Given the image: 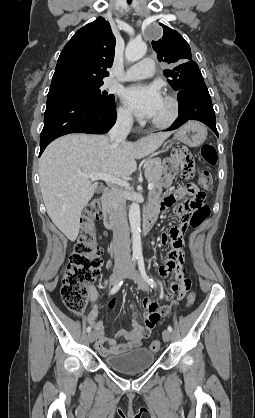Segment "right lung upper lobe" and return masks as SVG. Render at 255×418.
I'll return each instance as SVG.
<instances>
[{
  "instance_id": "right-lung-upper-lobe-1",
  "label": "right lung upper lobe",
  "mask_w": 255,
  "mask_h": 418,
  "mask_svg": "<svg viewBox=\"0 0 255 418\" xmlns=\"http://www.w3.org/2000/svg\"><path fill=\"white\" fill-rule=\"evenodd\" d=\"M116 39L108 21L99 17L79 29L63 48L51 86L69 82H103L114 59Z\"/></svg>"
}]
</instances>
